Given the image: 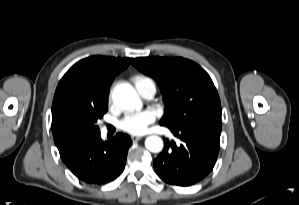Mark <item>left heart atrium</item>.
<instances>
[{
  "mask_svg": "<svg viewBox=\"0 0 299 205\" xmlns=\"http://www.w3.org/2000/svg\"><path fill=\"white\" fill-rule=\"evenodd\" d=\"M155 115L151 111H143L127 115L121 120L119 127L132 134H142L145 132L147 126L154 122Z\"/></svg>",
  "mask_w": 299,
  "mask_h": 205,
  "instance_id": "39dd6f15",
  "label": "left heart atrium"
}]
</instances>
